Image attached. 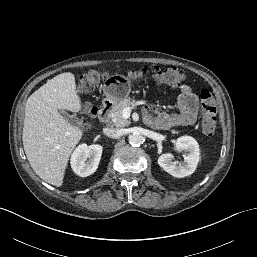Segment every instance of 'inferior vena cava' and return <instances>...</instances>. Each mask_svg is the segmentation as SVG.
<instances>
[{
  "label": "inferior vena cava",
  "mask_w": 257,
  "mask_h": 257,
  "mask_svg": "<svg viewBox=\"0 0 257 257\" xmlns=\"http://www.w3.org/2000/svg\"><path fill=\"white\" fill-rule=\"evenodd\" d=\"M103 131L108 137L113 139H117L122 135L119 129L105 128Z\"/></svg>",
  "instance_id": "1"
}]
</instances>
